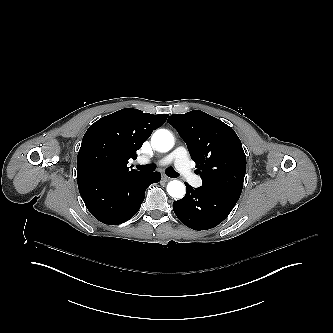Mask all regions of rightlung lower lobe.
<instances>
[{"label": "right lung lower lobe", "instance_id": "98d812e1", "mask_svg": "<svg viewBox=\"0 0 333 333\" xmlns=\"http://www.w3.org/2000/svg\"><path fill=\"white\" fill-rule=\"evenodd\" d=\"M160 179L159 172L134 171L118 176H86L77 178V182L89 212L104 224L117 225L126 222L138 212L145 190Z\"/></svg>", "mask_w": 333, "mask_h": 333}]
</instances>
